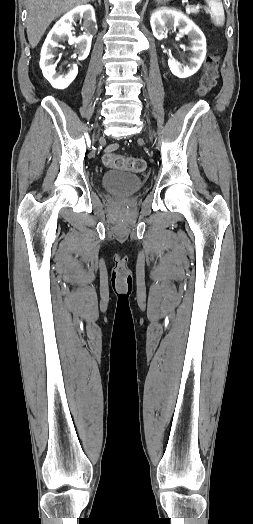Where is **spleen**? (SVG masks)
<instances>
[{"label": "spleen", "mask_w": 253, "mask_h": 524, "mask_svg": "<svg viewBox=\"0 0 253 524\" xmlns=\"http://www.w3.org/2000/svg\"><path fill=\"white\" fill-rule=\"evenodd\" d=\"M210 8L211 19L215 25L223 26L225 21L224 9L221 0H205Z\"/></svg>", "instance_id": "3e777b00"}]
</instances>
